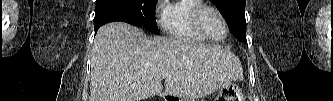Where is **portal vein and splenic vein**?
I'll use <instances>...</instances> for the list:
<instances>
[{
	"label": "portal vein and splenic vein",
	"instance_id": "obj_1",
	"mask_svg": "<svg viewBox=\"0 0 333 101\" xmlns=\"http://www.w3.org/2000/svg\"><path fill=\"white\" fill-rule=\"evenodd\" d=\"M162 77L166 80H169V79H171V74H165Z\"/></svg>",
	"mask_w": 333,
	"mask_h": 101
}]
</instances>
